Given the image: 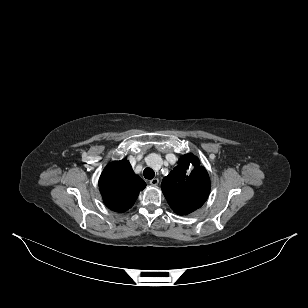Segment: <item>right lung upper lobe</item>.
Masks as SVG:
<instances>
[{
  "label": "right lung upper lobe",
  "instance_id": "1",
  "mask_svg": "<svg viewBox=\"0 0 308 308\" xmlns=\"http://www.w3.org/2000/svg\"><path fill=\"white\" fill-rule=\"evenodd\" d=\"M145 187L146 183L133 172L127 159L108 164L99 179L105 205L120 213L134 204Z\"/></svg>",
  "mask_w": 308,
  "mask_h": 308
}]
</instances>
